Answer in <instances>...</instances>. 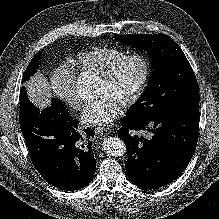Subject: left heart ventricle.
<instances>
[{
  "label": "left heart ventricle",
  "instance_id": "1",
  "mask_svg": "<svg viewBox=\"0 0 219 219\" xmlns=\"http://www.w3.org/2000/svg\"><path fill=\"white\" fill-rule=\"evenodd\" d=\"M143 73L138 60L126 62L110 82L98 81L97 96H109L123 105L137 89Z\"/></svg>",
  "mask_w": 219,
  "mask_h": 219
}]
</instances>
